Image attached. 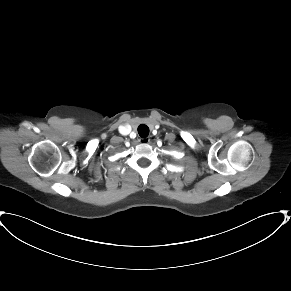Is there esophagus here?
I'll return each mask as SVG.
<instances>
[{
  "label": "esophagus",
  "mask_w": 291,
  "mask_h": 291,
  "mask_svg": "<svg viewBox=\"0 0 291 291\" xmlns=\"http://www.w3.org/2000/svg\"><path fill=\"white\" fill-rule=\"evenodd\" d=\"M139 142L141 144H148L150 142V139L148 137H145V138H140L139 139Z\"/></svg>",
  "instance_id": "1"
}]
</instances>
